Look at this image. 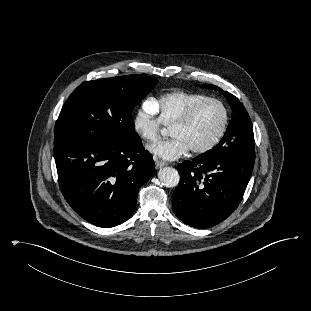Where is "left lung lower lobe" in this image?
Listing matches in <instances>:
<instances>
[{
    "label": "left lung lower lobe",
    "instance_id": "left-lung-lower-lobe-1",
    "mask_svg": "<svg viewBox=\"0 0 311 311\" xmlns=\"http://www.w3.org/2000/svg\"><path fill=\"white\" fill-rule=\"evenodd\" d=\"M253 151L201 155L177 166L179 185L172 196L175 215L195 228H209L229 217L242 200L253 171Z\"/></svg>",
    "mask_w": 311,
    "mask_h": 311
}]
</instances>
